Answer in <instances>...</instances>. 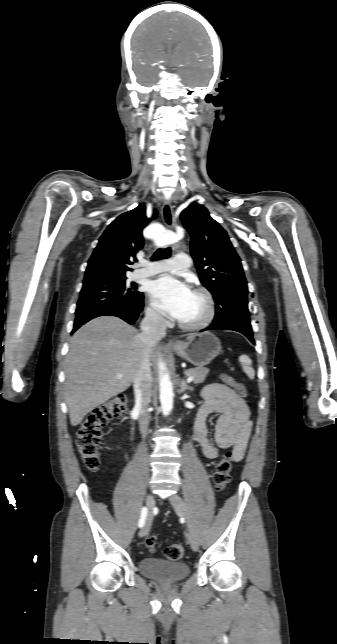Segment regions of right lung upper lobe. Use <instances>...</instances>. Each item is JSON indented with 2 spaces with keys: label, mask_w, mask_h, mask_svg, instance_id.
<instances>
[{
  "label": "right lung upper lobe",
  "mask_w": 337,
  "mask_h": 644,
  "mask_svg": "<svg viewBox=\"0 0 337 644\" xmlns=\"http://www.w3.org/2000/svg\"><path fill=\"white\" fill-rule=\"evenodd\" d=\"M146 208L139 205L121 214L104 231L88 261L84 281L97 278H125L127 265L136 261L143 248V228L149 223Z\"/></svg>",
  "instance_id": "right-lung-upper-lobe-1"
}]
</instances>
